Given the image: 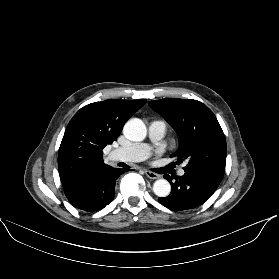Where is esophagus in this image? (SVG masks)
<instances>
[{"mask_svg":"<svg viewBox=\"0 0 279 279\" xmlns=\"http://www.w3.org/2000/svg\"><path fill=\"white\" fill-rule=\"evenodd\" d=\"M145 174L150 179H158L161 177L159 174L151 172V171H145Z\"/></svg>","mask_w":279,"mask_h":279,"instance_id":"1","label":"esophagus"}]
</instances>
